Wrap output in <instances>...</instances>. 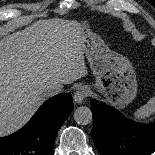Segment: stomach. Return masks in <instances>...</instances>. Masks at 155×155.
<instances>
[{
  "mask_svg": "<svg viewBox=\"0 0 155 155\" xmlns=\"http://www.w3.org/2000/svg\"><path fill=\"white\" fill-rule=\"evenodd\" d=\"M81 47L92 73L94 86L107 102L124 109L137 94L136 74L131 62L105 44L99 35L82 26Z\"/></svg>",
  "mask_w": 155,
  "mask_h": 155,
  "instance_id": "obj_1",
  "label": "stomach"
}]
</instances>
